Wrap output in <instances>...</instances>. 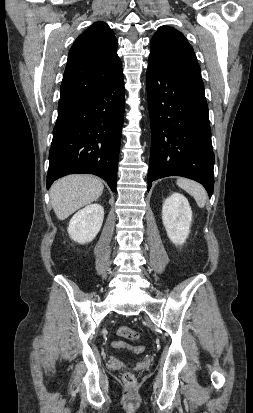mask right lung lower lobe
Instances as JSON below:
<instances>
[{
  "label": "right lung lower lobe",
  "mask_w": 253,
  "mask_h": 413,
  "mask_svg": "<svg viewBox=\"0 0 253 413\" xmlns=\"http://www.w3.org/2000/svg\"><path fill=\"white\" fill-rule=\"evenodd\" d=\"M123 118V72L95 93L58 107L47 188L64 175L86 173L103 178L116 192Z\"/></svg>",
  "instance_id": "98d812e1"
}]
</instances>
